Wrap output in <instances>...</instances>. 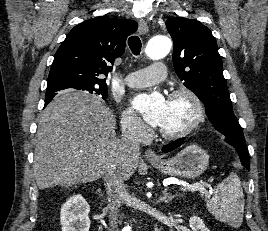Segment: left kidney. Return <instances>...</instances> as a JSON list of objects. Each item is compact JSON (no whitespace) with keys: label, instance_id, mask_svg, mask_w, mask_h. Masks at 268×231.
Instances as JSON below:
<instances>
[{"label":"left kidney","instance_id":"1","mask_svg":"<svg viewBox=\"0 0 268 231\" xmlns=\"http://www.w3.org/2000/svg\"><path fill=\"white\" fill-rule=\"evenodd\" d=\"M192 231H210L204 224L203 220L198 216H193L189 220Z\"/></svg>","mask_w":268,"mask_h":231}]
</instances>
